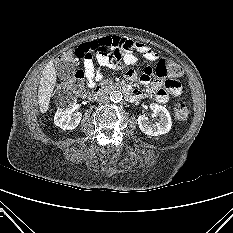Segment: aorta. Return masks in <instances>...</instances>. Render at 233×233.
<instances>
[{
	"label": "aorta",
	"instance_id": "aorta-1",
	"mask_svg": "<svg viewBox=\"0 0 233 233\" xmlns=\"http://www.w3.org/2000/svg\"><path fill=\"white\" fill-rule=\"evenodd\" d=\"M122 97L123 95L120 91L115 90L110 93V99L114 103L120 102L122 100Z\"/></svg>",
	"mask_w": 233,
	"mask_h": 233
}]
</instances>
